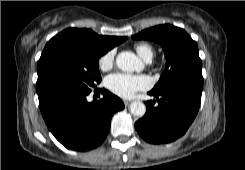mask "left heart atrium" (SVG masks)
Instances as JSON below:
<instances>
[{"mask_svg": "<svg viewBox=\"0 0 245 170\" xmlns=\"http://www.w3.org/2000/svg\"><path fill=\"white\" fill-rule=\"evenodd\" d=\"M107 87L123 98L132 97L137 91L151 87L150 79L145 75L114 73L106 78Z\"/></svg>", "mask_w": 245, "mask_h": 170, "instance_id": "obj_1", "label": "left heart atrium"}]
</instances>
